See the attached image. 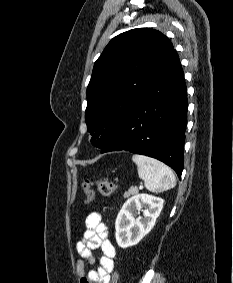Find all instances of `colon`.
Returning a JSON list of instances; mask_svg holds the SVG:
<instances>
[{"label":"colon","mask_w":233,"mask_h":283,"mask_svg":"<svg viewBox=\"0 0 233 283\" xmlns=\"http://www.w3.org/2000/svg\"><path fill=\"white\" fill-rule=\"evenodd\" d=\"M93 187H96L102 195L109 196L117 190L118 185L115 182L107 179L95 181L86 179L82 184L86 203H90L94 198ZM110 283H118V273L116 271L112 273Z\"/></svg>","instance_id":"1"}]
</instances>
